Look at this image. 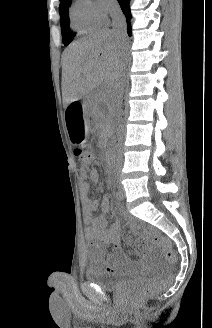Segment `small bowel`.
Returning <instances> with one entry per match:
<instances>
[{
  "label": "small bowel",
  "instance_id": "1",
  "mask_svg": "<svg viewBox=\"0 0 212 328\" xmlns=\"http://www.w3.org/2000/svg\"><path fill=\"white\" fill-rule=\"evenodd\" d=\"M80 194L83 208V218L86 224V235L91 242L92 251L91 259L99 267H102L109 273L122 274L134 271L138 264L132 261L121 249V233L120 229L123 225L131 229L137 228V223L126 215L119 218L116 223L108 227L107 220L104 215L96 216L95 212L99 208V202L90 198V183L99 180V173L92 169L91 173H80ZM102 209L104 212L109 210V202L107 199L102 201ZM126 245L135 249L142 258L147 257L151 245L144 240L133 243L130 238L125 240ZM112 246L110 252H106V247Z\"/></svg>",
  "mask_w": 212,
  "mask_h": 328
}]
</instances>
